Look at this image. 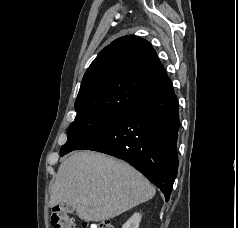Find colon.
Segmentation results:
<instances>
[{
    "label": "colon",
    "instance_id": "colon-1",
    "mask_svg": "<svg viewBox=\"0 0 238 228\" xmlns=\"http://www.w3.org/2000/svg\"><path fill=\"white\" fill-rule=\"evenodd\" d=\"M50 221L53 228H75L74 220L64 206L51 209ZM86 228H114V225L110 220H100L88 224Z\"/></svg>",
    "mask_w": 238,
    "mask_h": 228
}]
</instances>
